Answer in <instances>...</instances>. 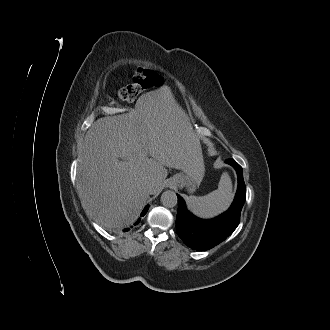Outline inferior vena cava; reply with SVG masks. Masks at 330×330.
<instances>
[{
	"mask_svg": "<svg viewBox=\"0 0 330 330\" xmlns=\"http://www.w3.org/2000/svg\"><path fill=\"white\" fill-rule=\"evenodd\" d=\"M156 184L153 180H149L146 184V190L149 194H153L155 190Z\"/></svg>",
	"mask_w": 330,
	"mask_h": 330,
	"instance_id": "inferior-vena-cava-1",
	"label": "inferior vena cava"
}]
</instances>
